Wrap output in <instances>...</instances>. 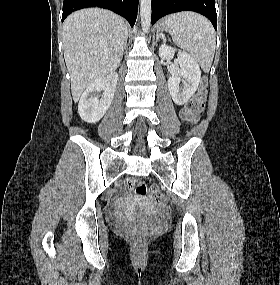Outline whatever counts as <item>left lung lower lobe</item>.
I'll return each instance as SVG.
<instances>
[{"label": "left lung lower lobe", "instance_id": "1", "mask_svg": "<svg viewBox=\"0 0 280 285\" xmlns=\"http://www.w3.org/2000/svg\"><path fill=\"white\" fill-rule=\"evenodd\" d=\"M180 11H194L206 16L217 29L215 0H152V25L161 17Z\"/></svg>", "mask_w": 280, "mask_h": 285}]
</instances>
